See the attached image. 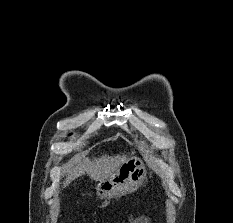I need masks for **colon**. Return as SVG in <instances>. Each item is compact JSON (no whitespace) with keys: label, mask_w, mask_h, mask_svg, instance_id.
<instances>
[{"label":"colon","mask_w":233,"mask_h":223,"mask_svg":"<svg viewBox=\"0 0 233 223\" xmlns=\"http://www.w3.org/2000/svg\"><path fill=\"white\" fill-rule=\"evenodd\" d=\"M133 222H134V223H139V222H141V220H140V219H134Z\"/></svg>","instance_id":"1"}]
</instances>
